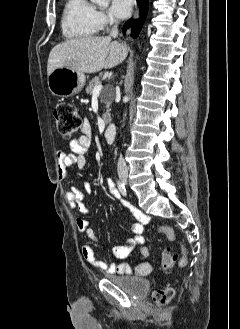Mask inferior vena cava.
Segmentation results:
<instances>
[{"label":"inferior vena cava","mask_w":240,"mask_h":329,"mask_svg":"<svg viewBox=\"0 0 240 329\" xmlns=\"http://www.w3.org/2000/svg\"><path fill=\"white\" fill-rule=\"evenodd\" d=\"M118 21H115V25L112 27V30L110 32V37H117L118 35ZM117 171L119 175H127L128 174V168L126 165V162L122 155H120L118 163H117Z\"/></svg>","instance_id":"inferior-vena-cava-1"}]
</instances>
